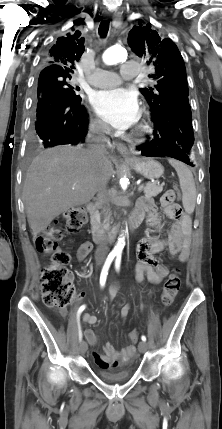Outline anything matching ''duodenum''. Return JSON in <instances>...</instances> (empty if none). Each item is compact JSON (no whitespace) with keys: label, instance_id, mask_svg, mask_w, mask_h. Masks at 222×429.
Wrapping results in <instances>:
<instances>
[{"label":"duodenum","instance_id":"1","mask_svg":"<svg viewBox=\"0 0 222 429\" xmlns=\"http://www.w3.org/2000/svg\"><path fill=\"white\" fill-rule=\"evenodd\" d=\"M87 211L90 215L91 234H92L93 240L96 243L100 244L105 240L106 234L100 225L99 215L97 212L96 205L94 203L88 204ZM142 218H143V213L141 211H137V212L134 211L129 218L130 229L137 228Z\"/></svg>","mask_w":222,"mask_h":429}]
</instances>
